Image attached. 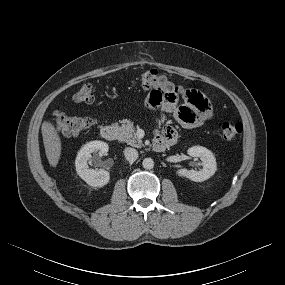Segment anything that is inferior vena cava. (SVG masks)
<instances>
[{"label": "inferior vena cava", "instance_id": "602c4592", "mask_svg": "<svg viewBox=\"0 0 285 285\" xmlns=\"http://www.w3.org/2000/svg\"><path fill=\"white\" fill-rule=\"evenodd\" d=\"M125 158L129 162H134L138 158V151L134 148L127 147L124 151Z\"/></svg>", "mask_w": 285, "mask_h": 285}]
</instances>
